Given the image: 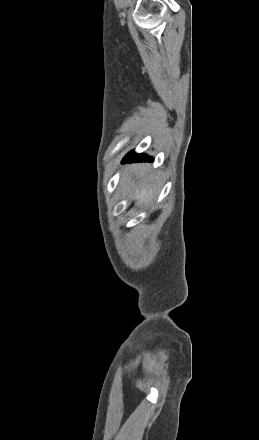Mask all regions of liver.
Returning <instances> with one entry per match:
<instances>
[{"instance_id": "liver-1", "label": "liver", "mask_w": 259, "mask_h": 440, "mask_svg": "<svg viewBox=\"0 0 259 440\" xmlns=\"http://www.w3.org/2000/svg\"><path fill=\"white\" fill-rule=\"evenodd\" d=\"M133 169L136 175L140 178L138 183H133L131 185V196L134 200H137L139 205L146 204L149 205L152 202L153 191L150 189L148 180L150 174L144 166H134Z\"/></svg>"}]
</instances>
